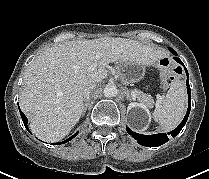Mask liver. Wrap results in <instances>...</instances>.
Here are the masks:
<instances>
[{
    "label": "liver",
    "instance_id": "1",
    "mask_svg": "<svg viewBox=\"0 0 209 179\" xmlns=\"http://www.w3.org/2000/svg\"><path fill=\"white\" fill-rule=\"evenodd\" d=\"M98 53L103 54L99 66L90 71ZM163 54L153 46L115 37L70 41L47 48L24 74L20 108L39 139L60 141L79 121L86 91L107 76L106 65L135 62L150 66Z\"/></svg>",
    "mask_w": 209,
    "mask_h": 179
}]
</instances>
